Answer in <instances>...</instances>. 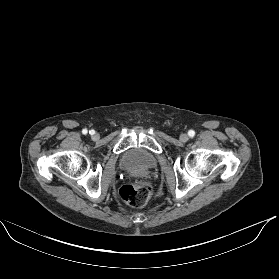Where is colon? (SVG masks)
Here are the masks:
<instances>
[{"label":"colon","instance_id":"1","mask_svg":"<svg viewBox=\"0 0 279 279\" xmlns=\"http://www.w3.org/2000/svg\"><path fill=\"white\" fill-rule=\"evenodd\" d=\"M152 192V185L148 181H136L123 185L119 191V198L131 207L144 206Z\"/></svg>","mask_w":279,"mask_h":279}]
</instances>
